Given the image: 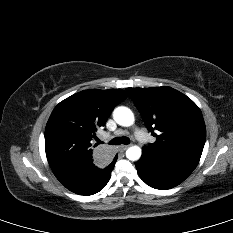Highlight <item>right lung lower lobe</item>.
Segmentation results:
<instances>
[{
    "mask_svg": "<svg viewBox=\"0 0 233 233\" xmlns=\"http://www.w3.org/2000/svg\"><path fill=\"white\" fill-rule=\"evenodd\" d=\"M117 156L111 163L93 160L52 168L56 178L70 191L79 195H92L102 190L111 177Z\"/></svg>",
    "mask_w": 233,
    "mask_h": 233,
    "instance_id": "obj_1",
    "label": "right lung lower lobe"
}]
</instances>
